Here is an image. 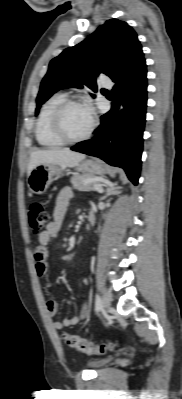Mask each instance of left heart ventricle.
I'll use <instances>...</instances> for the list:
<instances>
[{
  "label": "left heart ventricle",
  "instance_id": "obj_1",
  "mask_svg": "<svg viewBox=\"0 0 182 399\" xmlns=\"http://www.w3.org/2000/svg\"><path fill=\"white\" fill-rule=\"evenodd\" d=\"M91 114L86 106H70L63 115V125L66 133L73 138L82 136L89 128Z\"/></svg>",
  "mask_w": 182,
  "mask_h": 399
}]
</instances>
